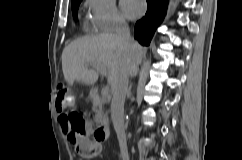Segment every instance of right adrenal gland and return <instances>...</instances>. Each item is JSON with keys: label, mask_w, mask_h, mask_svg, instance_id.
Here are the masks:
<instances>
[{"label": "right adrenal gland", "mask_w": 242, "mask_h": 160, "mask_svg": "<svg viewBox=\"0 0 242 160\" xmlns=\"http://www.w3.org/2000/svg\"><path fill=\"white\" fill-rule=\"evenodd\" d=\"M131 89H132V85L129 86L128 91H127L128 98H130V96H131Z\"/></svg>", "instance_id": "2a0ac1e0"}]
</instances>
